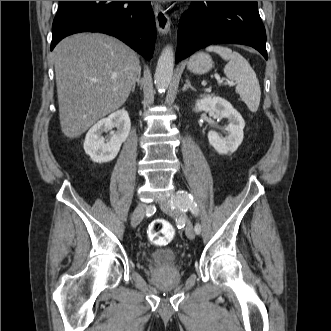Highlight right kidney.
<instances>
[{"label":"right kidney","instance_id":"ca27d5eb","mask_svg":"<svg viewBox=\"0 0 331 331\" xmlns=\"http://www.w3.org/2000/svg\"><path fill=\"white\" fill-rule=\"evenodd\" d=\"M116 127L117 130L109 141H105L102 136ZM131 122L126 110H118L107 118L98 121L86 134L84 150L91 160L96 163H106L112 161L118 154L122 143L129 136Z\"/></svg>","mask_w":331,"mask_h":331}]
</instances>
